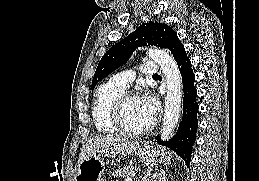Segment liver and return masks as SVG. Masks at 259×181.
<instances>
[{"instance_id":"6515ba94","label":"liver","mask_w":259,"mask_h":181,"mask_svg":"<svg viewBox=\"0 0 259 181\" xmlns=\"http://www.w3.org/2000/svg\"><path fill=\"white\" fill-rule=\"evenodd\" d=\"M139 147V143L130 142L123 138L115 137L113 135H98L90 139L82 148L78 165L89 155L97 153H105L112 155H129Z\"/></svg>"}]
</instances>
